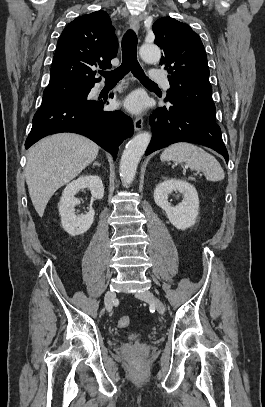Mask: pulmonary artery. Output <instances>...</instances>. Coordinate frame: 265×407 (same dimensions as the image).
I'll return each instance as SVG.
<instances>
[{
	"label": "pulmonary artery",
	"mask_w": 265,
	"mask_h": 407,
	"mask_svg": "<svg viewBox=\"0 0 265 407\" xmlns=\"http://www.w3.org/2000/svg\"><path fill=\"white\" fill-rule=\"evenodd\" d=\"M151 81L163 85L166 89L169 88L167 77L159 70L151 72Z\"/></svg>",
	"instance_id": "1"
}]
</instances>
